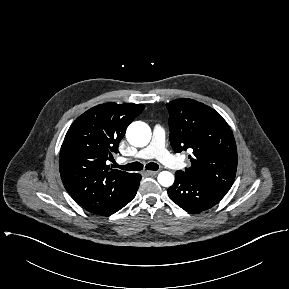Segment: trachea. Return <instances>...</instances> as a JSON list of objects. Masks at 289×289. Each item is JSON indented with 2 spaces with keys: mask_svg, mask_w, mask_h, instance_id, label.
Masks as SVG:
<instances>
[{
  "mask_svg": "<svg viewBox=\"0 0 289 289\" xmlns=\"http://www.w3.org/2000/svg\"><path fill=\"white\" fill-rule=\"evenodd\" d=\"M115 166L126 171H140L143 169V165L139 162H133V163H129V164L122 165V166L115 164ZM146 169L156 171L159 169V165L156 163L150 162L146 165Z\"/></svg>",
  "mask_w": 289,
  "mask_h": 289,
  "instance_id": "obj_1",
  "label": "trachea"
}]
</instances>
